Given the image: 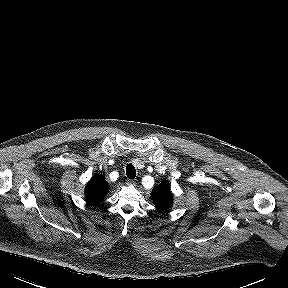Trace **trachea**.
<instances>
[{
  "label": "trachea",
  "mask_w": 288,
  "mask_h": 288,
  "mask_svg": "<svg viewBox=\"0 0 288 288\" xmlns=\"http://www.w3.org/2000/svg\"><path fill=\"white\" fill-rule=\"evenodd\" d=\"M126 175L130 179H133L136 177V169L132 164H128L126 166Z\"/></svg>",
  "instance_id": "trachea-1"
}]
</instances>
